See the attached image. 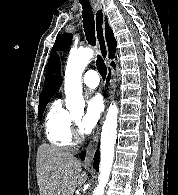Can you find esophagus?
I'll list each match as a JSON object with an SVG mask.
<instances>
[{
  "instance_id": "1",
  "label": "esophagus",
  "mask_w": 178,
  "mask_h": 195,
  "mask_svg": "<svg viewBox=\"0 0 178 195\" xmlns=\"http://www.w3.org/2000/svg\"><path fill=\"white\" fill-rule=\"evenodd\" d=\"M93 7H94V17H95V36H96V40L98 43L99 52H100V55L102 56V58L108 62V48H107V43H106L105 33H104L105 14H104V11L102 9V6L99 3H94ZM107 78L109 81L108 89L103 92V98H104V103H105V112L107 110V107H108L110 101L112 100V98L114 96L115 85H116L114 70L109 65V62L107 63ZM105 112H104L102 119L99 122L96 133L88 146L87 157H86V160L84 162L85 166L91 165L92 158H93L94 153L98 147L101 125H102L104 117H105Z\"/></svg>"
}]
</instances>
